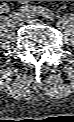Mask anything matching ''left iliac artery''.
Wrapping results in <instances>:
<instances>
[{
    "label": "left iliac artery",
    "instance_id": "left-iliac-artery-1",
    "mask_svg": "<svg viewBox=\"0 0 74 122\" xmlns=\"http://www.w3.org/2000/svg\"><path fill=\"white\" fill-rule=\"evenodd\" d=\"M21 10L32 16L38 15L46 19H50L51 21L55 20V14L49 9L41 7V6L26 5V6H23Z\"/></svg>",
    "mask_w": 74,
    "mask_h": 122
}]
</instances>
